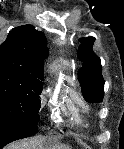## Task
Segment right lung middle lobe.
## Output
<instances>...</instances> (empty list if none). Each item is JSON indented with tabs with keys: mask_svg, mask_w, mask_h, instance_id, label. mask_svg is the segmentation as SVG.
I'll list each match as a JSON object with an SVG mask.
<instances>
[{
	"mask_svg": "<svg viewBox=\"0 0 124 149\" xmlns=\"http://www.w3.org/2000/svg\"><path fill=\"white\" fill-rule=\"evenodd\" d=\"M42 89L0 74V130L28 129L37 125Z\"/></svg>",
	"mask_w": 124,
	"mask_h": 149,
	"instance_id": "1",
	"label": "right lung middle lobe"
}]
</instances>
